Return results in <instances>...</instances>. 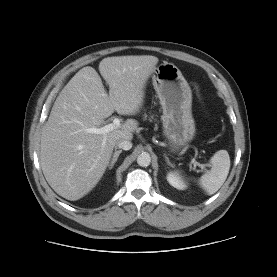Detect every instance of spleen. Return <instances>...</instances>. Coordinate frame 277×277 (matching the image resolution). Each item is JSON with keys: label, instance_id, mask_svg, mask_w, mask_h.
<instances>
[{"label": "spleen", "instance_id": "spleen-1", "mask_svg": "<svg viewBox=\"0 0 277 277\" xmlns=\"http://www.w3.org/2000/svg\"><path fill=\"white\" fill-rule=\"evenodd\" d=\"M211 170L201 176L199 182L208 195L216 193L224 184L230 169V157L226 150L217 151L210 159Z\"/></svg>", "mask_w": 277, "mask_h": 277}]
</instances>
